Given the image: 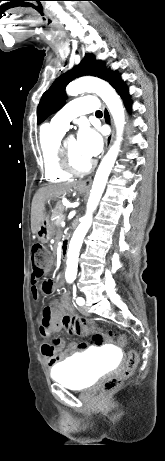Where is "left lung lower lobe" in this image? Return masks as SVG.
<instances>
[{
  "label": "left lung lower lobe",
  "instance_id": "obj_1",
  "mask_svg": "<svg viewBox=\"0 0 165 461\" xmlns=\"http://www.w3.org/2000/svg\"><path fill=\"white\" fill-rule=\"evenodd\" d=\"M110 84L116 89L118 94L123 98L127 109H131L128 88L125 86L124 82L121 80L120 75H117Z\"/></svg>",
  "mask_w": 165,
  "mask_h": 461
}]
</instances>
